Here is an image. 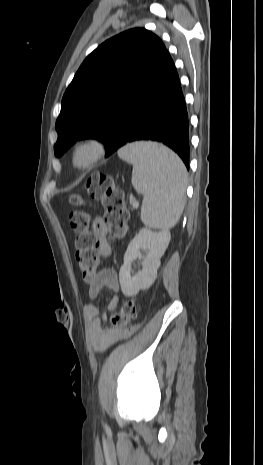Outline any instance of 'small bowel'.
<instances>
[{"label": "small bowel", "mask_w": 263, "mask_h": 465, "mask_svg": "<svg viewBox=\"0 0 263 465\" xmlns=\"http://www.w3.org/2000/svg\"><path fill=\"white\" fill-rule=\"evenodd\" d=\"M93 231L97 238V249L98 253L102 257H108L111 254L110 245V232L108 227L103 223L102 219H96L93 225ZM103 288L111 289L114 292L119 290V281L117 272L111 268H104L100 270L96 279L89 286V298L91 302L87 303L83 308L84 317L90 321L89 333L92 340L94 349L97 352H103L109 348L112 344L126 337L129 333L136 334L141 327L143 322H136L133 329L126 330H101L100 323L105 318V315H100V311L96 304L93 302L99 295ZM119 303V296L114 294L108 302L107 310L109 312L114 311ZM137 330V331H136Z\"/></svg>", "instance_id": "c3829d8e"}]
</instances>
